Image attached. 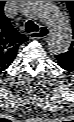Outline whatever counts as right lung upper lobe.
<instances>
[{"label":"right lung upper lobe","instance_id":"cb5924a9","mask_svg":"<svg viewBox=\"0 0 74 122\" xmlns=\"http://www.w3.org/2000/svg\"><path fill=\"white\" fill-rule=\"evenodd\" d=\"M4 3L5 1H0V72L11 65L18 47L28 40L26 36L19 34L4 15Z\"/></svg>","mask_w":74,"mask_h":122}]
</instances>
